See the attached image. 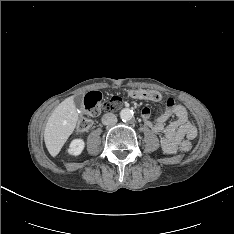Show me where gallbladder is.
I'll use <instances>...</instances> for the list:
<instances>
[{"mask_svg":"<svg viewBox=\"0 0 234 234\" xmlns=\"http://www.w3.org/2000/svg\"><path fill=\"white\" fill-rule=\"evenodd\" d=\"M74 103H75L77 108L81 109L82 104H83V96L82 95H76L74 97Z\"/></svg>","mask_w":234,"mask_h":234,"instance_id":"gallbladder-1","label":"gallbladder"}]
</instances>
